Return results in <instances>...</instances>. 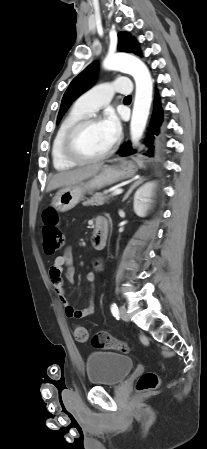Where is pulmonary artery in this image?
Returning <instances> with one entry per match:
<instances>
[{"label": "pulmonary artery", "mask_w": 207, "mask_h": 449, "mask_svg": "<svg viewBox=\"0 0 207 449\" xmlns=\"http://www.w3.org/2000/svg\"><path fill=\"white\" fill-rule=\"evenodd\" d=\"M115 93L130 94L131 85L128 79L104 82L84 93L76 102V107L91 114L108 104Z\"/></svg>", "instance_id": "1"}]
</instances>
